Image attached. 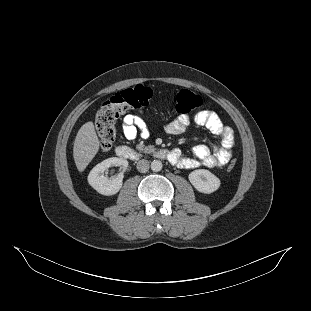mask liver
<instances>
[{
  "label": "liver",
  "instance_id": "obj_1",
  "mask_svg": "<svg viewBox=\"0 0 311 311\" xmlns=\"http://www.w3.org/2000/svg\"><path fill=\"white\" fill-rule=\"evenodd\" d=\"M99 148L93 122H86L77 133L74 142V159L79 171H83Z\"/></svg>",
  "mask_w": 311,
  "mask_h": 311
}]
</instances>
